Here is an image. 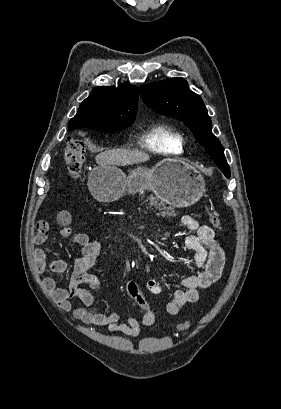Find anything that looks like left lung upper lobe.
<instances>
[{
	"label": "left lung upper lobe",
	"mask_w": 281,
	"mask_h": 409,
	"mask_svg": "<svg viewBox=\"0 0 281 409\" xmlns=\"http://www.w3.org/2000/svg\"><path fill=\"white\" fill-rule=\"evenodd\" d=\"M140 94L144 103L155 112L183 121L224 175L230 177L229 165L221 143L211 131V118L203 100L189 89L185 79L170 78L142 85Z\"/></svg>",
	"instance_id": "left-lung-upper-lobe-1"
}]
</instances>
